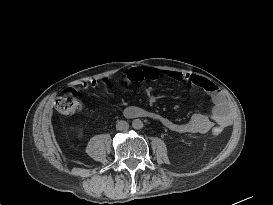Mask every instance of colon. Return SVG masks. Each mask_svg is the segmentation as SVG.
Wrapping results in <instances>:
<instances>
[{
	"label": "colon",
	"instance_id": "obj_1",
	"mask_svg": "<svg viewBox=\"0 0 273 205\" xmlns=\"http://www.w3.org/2000/svg\"><path fill=\"white\" fill-rule=\"evenodd\" d=\"M146 69L135 68L128 72V80L131 82H142L147 79ZM111 82L110 80L107 83ZM56 110L64 115L75 114L80 109L79 101L76 96L73 94H64L58 97L55 101ZM214 135H219L222 133V129L220 127H215L212 130Z\"/></svg>",
	"mask_w": 273,
	"mask_h": 205
}]
</instances>
